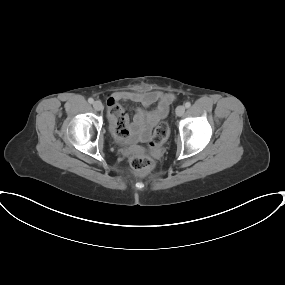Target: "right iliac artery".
<instances>
[{
	"instance_id": "right-iliac-artery-1",
	"label": "right iliac artery",
	"mask_w": 285,
	"mask_h": 285,
	"mask_svg": "<svg viewBox=\"0 0 285 285\" xmlns=\"http://www.w3.org/2000/svg\"><path fill=\"white\" fill-rule=\"evenodd\" d=\"M88 102H89L90 104H92V103L94 102L93 98H89V99H88Z\"/></svg>"
}]
</instances>
